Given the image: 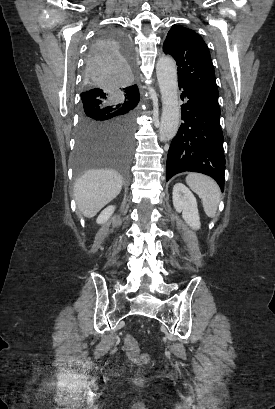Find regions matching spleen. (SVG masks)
I'll use <instances>...</instances> for the list:
<instances>
[{
	"mask_svg": "<svg viewBox=\"0 0 275 409\" xmlns=\"http://www.w3.org/2000/svg\"><path fill=\"white\" fill-rule=\"evenodd\" d=\"M186 182L190 188L200 196L203 202V209L208 217H215L220 202V188L210 176L198 174V172H190L186 176Z\"/></svg>",
	"mask_w": 275,
	"mask_h": 409,
	"instance_id": "obj_1",
	"label": "spleen"
}]
</instances>
